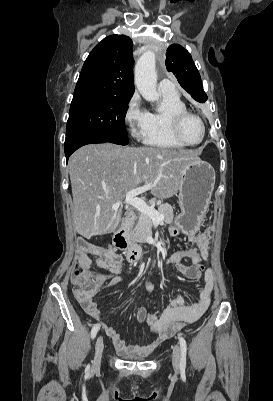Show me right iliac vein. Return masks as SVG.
<instances>
[{
    "mask_svg": "<svg viewBox=\"0 0 273 401\" xmlns=\"http://www.w3.org/2000/svg\"><path fill=\"white\" fill-rule=\"evenodd\" d=\"M103 349H104L103 338L101 336H99L95 343V356H94V360L92 363L93 369H96L99 367V365L101 363Z\"/></svg>",
    "mask_w": 273,
    "mask_h": 401,
    "instance_id": "right-iliac-vein-1",
    "label": "right iliac vein"
}]
</instances>
